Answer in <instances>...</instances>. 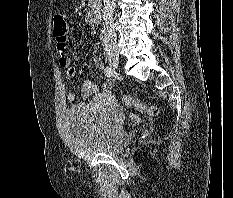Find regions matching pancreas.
<instances>
[{
	"mask_svg": "<svg viewBox=\"0 0 233 198\" xmlns=\"http://www.w3.org/2000/svg\"><path fill=\"white\" fill-rule=\"evenodd\" d=\"M101 4V0H88V6L98 7Z\"/></svg>",
	"mask_w": 233,
	"mask_h": 198,
	"instance_id": "cf45deb5",
	"label": "pancreas"
}]
</instances>
